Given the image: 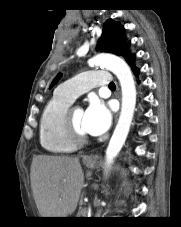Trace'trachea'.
Segmentation results:
<instances>
[{"label": "trachea", "mask_w": 181, "mask_h": 227, "mask_svg": "<svg viewBox=\"0 0 181 227\" xmlns=\"http://www.w3.org/2000/svg\"><path fill=\"white\" fill-rule=\"evenodd\" d=\"M109 88H115V84H114L113 82H111V83L109 84Z\"/></svg>", "instance_id": "obj_1"}]
</instances>
